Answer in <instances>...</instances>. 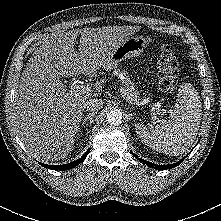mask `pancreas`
Listing matches in <instances>:
<instances>
[{
  "mask_svg": "<svg viewBox=\"0 0 221 221\" xmlns=\"http://www.w3.org/2000/svg\"><path fill=\"white\" fill-rule=\"evenodd\" d=\"M115 74H120L123 76L122 84L124 92L126 93V99L130 103L136 102L139 98V92L135 89L134 84L132 83L129 75L124 70L120 69L115 70Z\"/></svg>",
  "mask_w": 221,
  "mask_h": 221,
  "instance_id": "1",
  "label": "pancreas"
}]
</instances>
